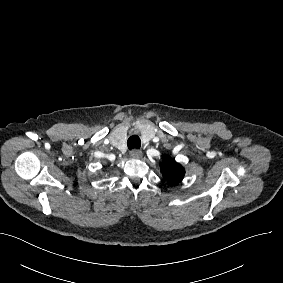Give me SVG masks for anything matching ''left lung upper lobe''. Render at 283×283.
Masks as SVG:
<instances>
[{
	"label": "left lung upper lobe",
	"mask_w": 283,
	"mask_h": 283,
	"mask_svg": "<svg viewBox=\"0 0 283 283\" xmlns=\"http://www.w3.org/2000/svg\"><path fill=\"white\" fill-rule=\"evenodd\" d=\"M160 168L163 178L172 186L177 185L185 175V169L182 165L169 156H164Z\"/></svg>",
	"instance_id": "5c2ea615"
}]
</instances>
